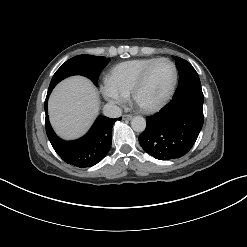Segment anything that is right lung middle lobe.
I'll return each mask as SVG.
<instances>
[{
  "label": "right lung middle lobe",
  "instance_id": "dd1d6c3e",
  "mask_svg": "<svg viewBox=\"0 0 247 247\" xmlns=\"http://www.w3.org/2000/svg\"><path fill=\"white\" fill-rule=\"evenodd\" d=\"M109 59L102 56L78 55L66 61L54 74L49 88H54L57 83L72 75L88 77L97 85L102 69L108 64Z\"/></svg>",
  "mask_w": 247,
  "mask_h": 247
}]
</instances>
